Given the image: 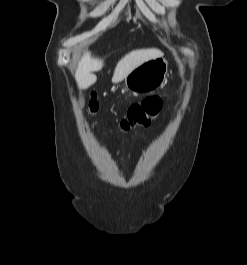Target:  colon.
I'll use <instances>...</instances> for the list:
<instances>
[{
	"instance_id": "5ec220e1",
	"label": "colon",
	"mask_w": 247,
	"mask_h": 265,
	"mask_svg": "<svg viewBox=\"0 0 247 265\" xmlns=\"http://www.w3.org/2000/svg\"><path fill=\"white\" fill-rule=\"evenodd\" d=\"M90 110L95 112L98 108L97 102H90ZM163 101L161 97H147L139 103L133 104L120 121V129L127 131L138 126H148L162 109Z\"/></svg>"
}]
</instances>
